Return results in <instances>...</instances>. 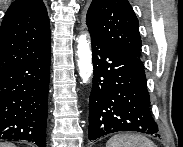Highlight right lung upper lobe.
Here are the masks:
<instances>
[{"mask_svg": "<svg viewBox=\"0 0 183 147\" xmlns=\"http://www.w3.org/2000/svg\"><path fill=\"white\" fill-rule=\"evenodd\" d=\"M50 50V23L42 0H15L0 27V71Z\"/></svg>", "mask_w": 183, "mask_h": 147, "instance_id": "right-lung-upper-lobe-1", "label": "right lung upper lobe"}]
</instances>
